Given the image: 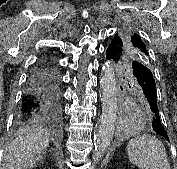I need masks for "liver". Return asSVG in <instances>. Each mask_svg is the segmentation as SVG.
<instances>
[{
    "mask_svg": "<svg viewBox=\"0 0 177 169\" xmlns=\"http://www.w3.org/2000/svg\"><path fill=\"white\" fill-rule=\"evenodd\" d=\"M49 137L40 127L29 128L12 140L6 148L2 169H29L42 159Z\"/></svg>",
    "mask_w": 177,
    "mask_h": 169,
    "instance_id": "obj_1",
    "label": "liver"
}]
</instances>
